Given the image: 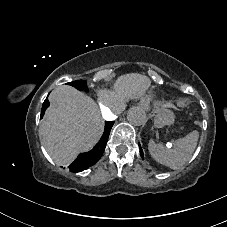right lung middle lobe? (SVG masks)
Instances as JSON below:
<instances>
[{"label":"right lung middle lobe","instance_id":"dd1d6c3e","mask_svg":"<svg viewBox=\"0 0 227 227\" xmlns=\"http://www.w3.org/2000/svg\"><path fill=\"white\" fill-rule=\"evenodd\" d=\"M67 84L75 87L78 90H81V91L82 90H85V91H87L86 81H84V80L73 81V82H69ZM48 105H49L48 101L45 100L44 103H43V108H47Z\"/></svg>","mask_w":227,"mask_h":227}]
</instances>
